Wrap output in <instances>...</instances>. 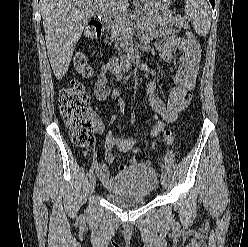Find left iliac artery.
<instances>
[{"label": "left iliac artery", "mask_w": 248, "mask_h": 247, "mask_svg": "<svg viewBox=\"0 0 248 247\" xmlns=\"http://www.w3.org/2000/svg\"><path fill=\"white\" fill-rule=\"evenodd\" d=\"M161 166H162V173L167 174V172H166V169H165L164 165L162 164Z\"/></svg>", "instance_id": "1"}]
</instances>
